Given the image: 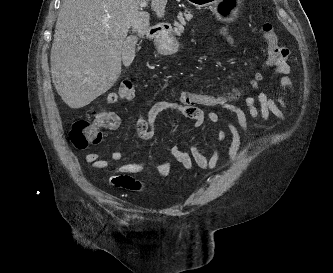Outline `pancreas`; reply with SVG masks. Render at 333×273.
I'll return each instance as SVG.
<instances>
[{
    "label": "pancreas",
    "mask_w": 333,
    "mask_h": 273,
    "mask_svg": "<svg viewBox=\"0 0 333 273\" xmlns=\"http://www.w3.org/2000/svg\"><path fill=\"white\" fill-rule=\"evenodd\" d=\"M192 15L189 11H185V13H179L177 16V20L174 22V33L180 35L184 31V26L186 25V21L192 19Z\"/></svg>",
    "instance_id": "obj_1"
}]
</instances>
